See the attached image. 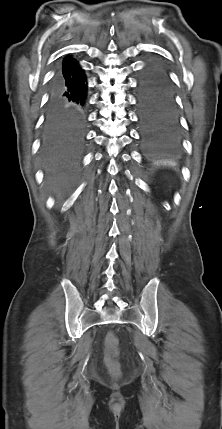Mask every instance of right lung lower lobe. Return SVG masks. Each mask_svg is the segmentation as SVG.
I'll list each match as a JSON object with an SVG mask.
<instances>
[{
	"instance_id": "obj_1",
	"label": "right lung lower lobe",
	"mask_w": 222,
	"mask_h": 429,
	"mask_svg": "<svg viewBox=\"0 0 222 429\" xmlns=\"http://www.w3.org/2000/svg\"><path fill=\"white\" fill-rule=\"evenodd\" d=\"M87 82L74 59L66 57L49 86L45 124L65 135H78L85 124Z\"/></svg>"
}]
</instances>
